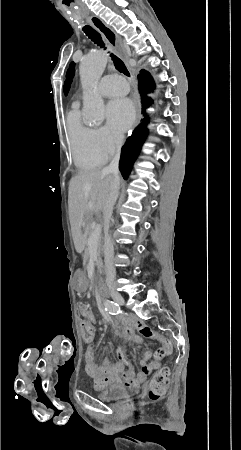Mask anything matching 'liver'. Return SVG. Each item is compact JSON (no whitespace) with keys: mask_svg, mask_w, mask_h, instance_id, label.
Instances as JSON below:
<instances>
[{"mask_svg":"<svg viewBox=\"0 0 241 450\" xmlns=\"http://www.w3.org/2000/svg\"><path fill=\"white\" fill-rule=\"evenodd\" d=\"M114 176L103 174V170L78 172L70 180L69 212L74 246L81 254L86 244V224L91 222L92 212H103L104 224L109 216L106 204L110 198Z\"/></svg>","mask_w":241,"mask_h":450,"instance_id":"obj_1","label":"liver"}]
</instances>
